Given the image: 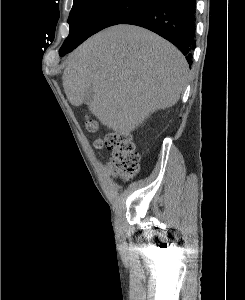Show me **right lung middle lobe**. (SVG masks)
<instances>
[{"instance_id":"obj_1","label":"right lung middle lobe","mask_w":245,"mask_h":300,"mask_svg":"<svg viewBox=\"0 0 245 300\" xmlns=\"http://www.w3.org/2000/svg\"><path fill=\"white\" fill-rule=\"evenodd\" d=\"M155 0H74L68 23L70 33L59 54L76 47L98 31L139 13Z\"/></svg>"}]
</instances>
